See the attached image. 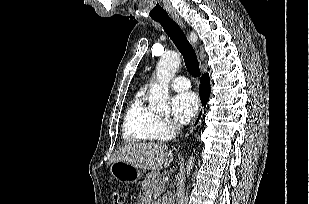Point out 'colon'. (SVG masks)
Masks as SVG:
<instances>
[{"label":"colon","mask_w":309,"mask_h":204,"mask_svg":"<svg viewBox=\"0 0 309 204\" xmlns=\"http://www.w3.org/2000/svg\"><path fill=\"white\" fill-rule=\"evenodd\" d=\"M112 198H113L114 204H122L123 203L122 194L119 193V192H114Z\"/></svg>","instance_id":"colon-1"}]
</instances>
